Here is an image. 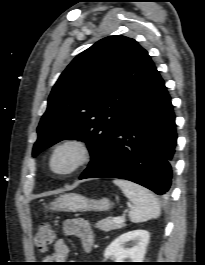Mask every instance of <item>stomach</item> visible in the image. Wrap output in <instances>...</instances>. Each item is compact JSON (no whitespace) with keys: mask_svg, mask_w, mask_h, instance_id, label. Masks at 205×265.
<instances>
[{"mask_svg":"<svg viewBox=\"0 0 205 265\" xmlns=\"http://www.w3.org/2000/svg\"><path fill=\"white\" fill-rule=\"evenodd\" d=\"M110 208V202L106 198L99 200L89 199L81 194L67 193L60 195L51 205L52 211L82 212L104 211Z\"/></svg>","mask_w":205,"mask_h":265,"instance_id":"obj_1","label":"stomach"}]
</instances>
